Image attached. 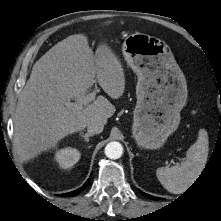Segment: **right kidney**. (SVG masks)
<instances>
[{
    "mask_svg": "<svg viewBox=\"0 0 221 221\" xmlns=\"http://www.w3.org/2000/svg\"><path fill=\"white\" fill-rule=\"evenodd\" d=\"M80 152L71 147L62 148L55 153V161L61 168H70L80 159Z\"/></svg>",
    "mask_w": 221,
    "mask_h": 221,
    "instance_id": "right-kidney-1",
    "label": "right kidney"
}]
</instances>
